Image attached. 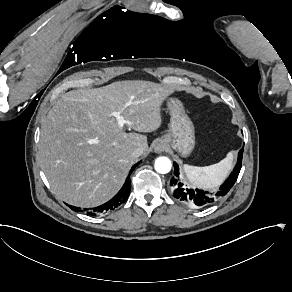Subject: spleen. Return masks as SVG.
Segmentation results:
<instances>
[{
  "label": "spleen",
  "instance_id": "3e777b00",
  "mask_svg": "<svg viewBox=\"0 0 292 292\" xmlns=\"http://www.w3.org/2000/svg\"><path fill=\"white\" fill-rule=\"evenodd\" d=\"M233 153L229 152L219 162L209 166H184L188 179L196 188H213L220 184L231 168Z\"/></svg>",
  "mask_w": 292,
  "mask_h": 292
}]
</instances>
